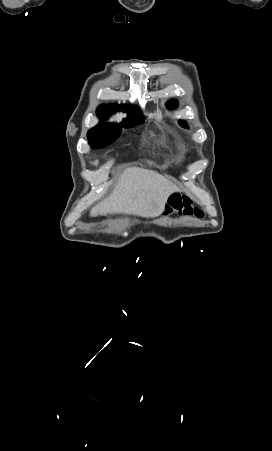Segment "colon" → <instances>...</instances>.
Returning a JSON list of instances; mask_svg holds the SVG:
<instances>
[{
	"mask_svg": "<svg viewBox=\"0 0 272 451\" xmlns=\"http://www.w3.org/2000/svg\"><path fill=\"white\" fill-rule=\"evenodd\" d=\"M166 212L177 211L180 215L195 216L197 218H202L205 213L204 211L195 206L191 198L185 195L174 194L168 199Z\"/></svg>",
	"mask_w": 272,
	"mask_h": 451,
	"instance_id": "colon-1",
	"label": "colon"
}]
</instances>
